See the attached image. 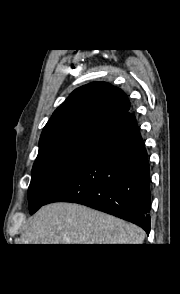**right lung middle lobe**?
<instances>
[{
	"label": "right lung middle lobe",
	"mask_w": 180,
	"mask_h": 294,
	"mask_svg": "<svg viewBox=\"0 0 180 294\" xmlns=\"http://www.w3.org/2000/svg\"><path fill=\"white\" fill-rule=\"evenodd\" d=\"M98 141L76 139L39 151L28 189L30 213L46 203L98 145Z\"/></svg>",
	"instance_id": "right-lung-middle-lobe-1"
}]
</instances>
